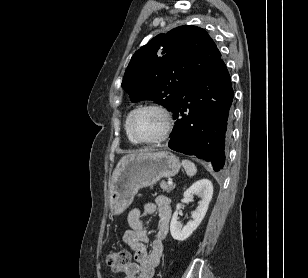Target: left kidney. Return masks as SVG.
Returning <instances> with one entry per match:
<instances>
[{
	"label": "left kidney",
	"mask_w": 308,
	"mask_h": 278,
	"mask_svg": "<svg viewBox=\"0 0 308 278\" xmlns=\"http://www.w3.org/2000/svg\"><path fill=\"white\" fill-rule=\"evenodd\" d=\"M193 195H198L201 198V202L192 213V220L189 221L187 225L182 226V224L178 221V210L180 209L181 204H177L176 206V211L174 212L170 223V233L175 240H186L204 219L213 195V185L211 181L208 179H201L195 182L184 192L183 196L190 199Z\"/></svg>",
	"instance_id": "1"
}]
</instances>
